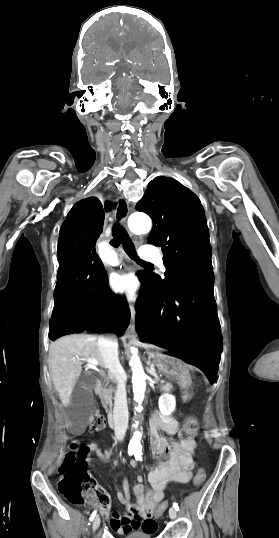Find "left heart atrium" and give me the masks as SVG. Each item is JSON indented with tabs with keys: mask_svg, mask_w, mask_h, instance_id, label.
<instances>
[{
	"mask_svg": "<svg viewBox=\"0 0 279 538\" xmlns=\"http://www.w3.org/2000/svg\"><path fill=\"white\" fill-rule=\"evenodd\" d=\"M111 289L121 296L132 297L137 288V280L132 273L114 272L109 276Z\"/></svg>",
	"mask_w": 279,
	"mask_h": 538,
	"instance_id": "39dd6f15",
	"label": "left heart atrium"
}]
</instances>
